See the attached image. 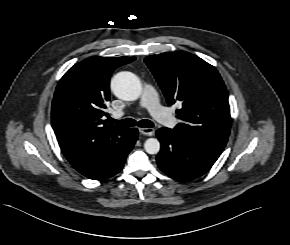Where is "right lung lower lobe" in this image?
<instances>
[{
    "label": "right lung lower lobe",
    "instance_id": "obj_1",
    "mask_svg": "<svg viewBox=\"0 0 290 245\" xmlns=\"http://www.w3.org/2000/svg\"><path fill=\"white\" fill-rule=\"evenodd\" d=\"M131 137H130V143L126 149V151L122 154V156L113 164L111 165L108 169H106L105 171L90 177V179H94V180H103V179H107L110 178L112 176H114L115 174H117L118 172H120V170L122 169L124 162L126 160V157L128 155V153L132 150L137 138H138V130L136 128H131Z\"/></svg>",
    "mask_w": 290,
    "mask_h": 245
}]
</instances>
